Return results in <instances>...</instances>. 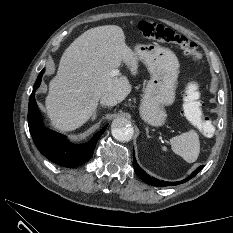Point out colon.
Here are the masks:
<instances>
[{
    "instance_id": "colon-1",
    "label": "colon",
    "mask_w": 233,
    "mask_h": 233,
    "mask_svg": "<svg viewBox=\"0 0 233 233\" xmlns=\"http://www.w3.org/2000/svg\"><path fill=\"white\" fill-rule=\"evenodd\" d=\"M138 29L149 39L178 46L193 61H198L201 58L197 44L184 35L176 33L171 28L159 23L140 20L138 22ZM200 106L199 86L195 81H191L187 84L185 90L184 112L192 121H194L204 135L210 136L215 130L213 121L210 117L202 115Z\"/></svg>"
}]
</instances>
